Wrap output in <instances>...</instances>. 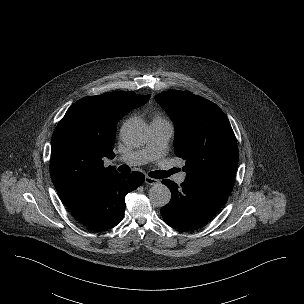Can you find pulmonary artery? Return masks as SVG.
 Here are the masks:
<instances>
[{"label": "pulmonary artery", "mask_w": 304, "mask_h": 304, "mask_svg": "<svg viewBox=\"0 0 304 304\" xmlns=\"http://www.w3.org/2000/svg\"><path fill=\"white\" fill-rule=\"evenodd\" d=\"M173 134V128L167 121L153 120L150 123V135L143 148L124 154L118 158L120 162L130 166L143 165L160 158ZM186 179V173L181 172L176 176L178 184Z\"/></svg>", "instance_id": "e3ab8cb5"}]
</instances>
